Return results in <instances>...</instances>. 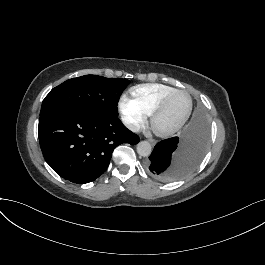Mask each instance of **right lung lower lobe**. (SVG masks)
I'll list each match as a JSON object with an SVG mask.
<instances>
[{
	"instance_id": "right-lung-lower-lobe-1",
	"label": "right lung lower lobe",
	"mask_w": 265,
	"mask_h": 265,
	"mask_svg": "<svg viewBox=\"0 0 265 265\" xmlns=\"http://www.w3.org/2000/svg\"><path fill=\"white\" fill-rule=\"evenodd\" d=\"M38 135L46 162L58 175L77 184L103 174L118 145L140 141L117 117L103 118L76 108L40 116Z\"/></svg>"
}]
</instances>
